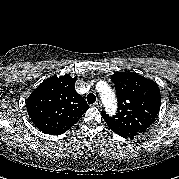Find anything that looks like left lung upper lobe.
<instances>
[{
    "label": "left lung upper lobe",
    "mask_w": 179,
    "mask_h": 179,
    "mask_svg": "<svg viewBox=\"0 0 179 179\" xmlns=\"http://www.w3.org/2000/svg\"><path fill=\"white\" fill-rule=\"evenodd\" d=\"M118 97V113L101 115L108 127L123 138L144 132L155 120L161 106L158 85L139 74L116 72L112 75Z\"/></svg>",
    "instance_id": "obj_1"
}]
</instances>
